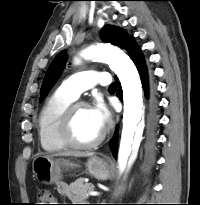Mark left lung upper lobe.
<instances>
[{"mask_svg": "<svg viewBox=\"0 0 200 205\" xmlns=\"http://www.w3.org/2000/svg\"><path fill=\"white\" fill-rule=\"evenodd\" d=\"M103 41L125 48L132 36H128L122 29L114 26H105L101 31ZM66 62V52L61 51L50 64L44 77L40 100H43L60 77Z\"/></svg>", "mask_w": 200, "mask_h": 205, "instance_id": "1", "label": "left lung upper lobe"}]
</instances>
